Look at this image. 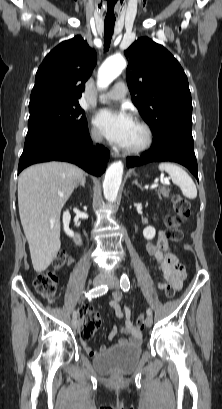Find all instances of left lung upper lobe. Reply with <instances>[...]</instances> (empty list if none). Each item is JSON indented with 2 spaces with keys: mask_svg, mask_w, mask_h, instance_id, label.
I'll list each match as a JSON object with an SVG mask.
<instances>
[{
  "mask_svg": "<svg viewBox=\"0 0 222 409\" xmlns=\"http://www.w3.org/2000/svg\"><path fill=\"white\" fill-rule=\"evenodd\" d=\"M124 54L129 59L126 75L132 101L153 135L167 128L191 131V93L179 62L162 45L145 37Z\"/></svg>",
  "mask_w": 222,
  "mask_h": 409,
  "instance_id": "1",
  "label": "left lung upper lobe"
}]
</instances>
